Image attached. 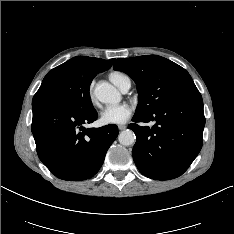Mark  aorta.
Instances as JSON below:
<instances>
[{
	"label": "aorta",
	"mask_w": 234,
	"mask_h": 234,
	"mask_svg": "<svg viewBox=\"0 0 234 234\" xmlns=\"http://www.w3.org/2000/svg\"><path fill=\"white\" fill-rule=\"evenodd\" d=\"M94 94L102 103H117L120 100L119 92L107 82L98 83L95 87ZM118 140L121 145H132L135 142V134L132 130H124L119 134Z\"/></svg>",
	"instance_id": "obj_1"
}]
</instances>
